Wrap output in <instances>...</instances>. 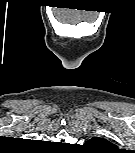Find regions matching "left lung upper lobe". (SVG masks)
I'll return each instance as SVG.
<instances>
[{"label": "left lung upper lobe", "instance_id": "obj_1", "mask_svg": "<svg viewBox=\"0 0 135 153\" xmlns=\"http://www.w3.org/2000/svg\"><path fill=\"white\" fill-rule=\"evenodd\" d=\"M86 145L97 150H106L114 147L112 143L100 137L91 138L87 141Z\"/></svg>", "mask_w": 135, "mask_h": 153}]
</instances>
